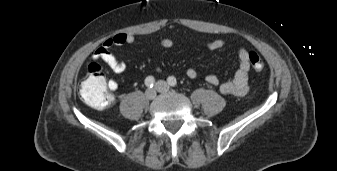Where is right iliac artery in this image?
<instances>
[{
    "label": "right iliac artery",
    "mask_w": 337,
    "mask_h": 171,
    "mask_svg": "<svg viewBox=\"0 0 337 171\" xmlns=\"http://www.w3.org/2000/svg\"><path fill=\"white\" fill-rule=\"evenodd\" d=\"M154 83H155V79L153 76H148L146 79H145V85L149 88H152L154 86Z\"/></svg>",
    "instance_id": "1"
}]
</instances>
